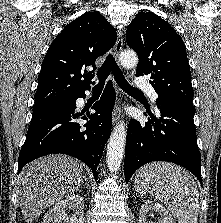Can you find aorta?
I'll list each match as a JSON object with an SVG mask.
<instances>
[{"label": "aorta", "mask_w": 221, "mask_h": 223, "mask_svg": "<svg viewBox=\"0 0 221 223\" xmlns=\"http://www.w3.org/2000/svg\"><path fill=\"white\" fill-rule=\"evenodd\" d=\"M121 64L126 68L137 66L138 57L132 50L121 52L119 57ZM126 142V126L124 122L118 123L114 128L107 144V166L111 172H117L123 160Z\"/></svg>", "instance_id": "1"}]
</instances>
